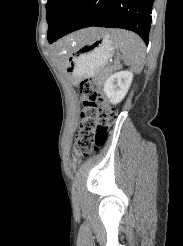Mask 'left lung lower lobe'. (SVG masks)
Masks as SVG:
<instances>
[{
  "label": "left lung lower lobe",
  "mask_w": 183,
  "mask_h": 246,
  "mask_svg": "<svg viewBox=\"0 0 183 246\" xmlns=\"http://www.w3.org/2000/svg\"><path fill=\"white\" fill-rule=\"evenodd\" d=\"M154 0H81L62 31L49 43L82 28H122L137 33L148 45Z\"/></svg>",
  "instance_id": "left-lung-lower-lobe-1"
}]
</instances>
